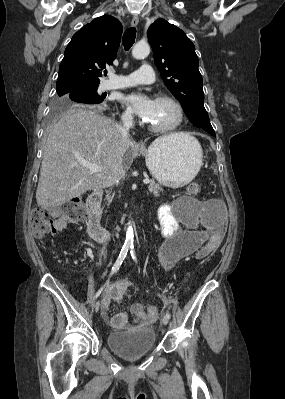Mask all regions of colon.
I'll return each instance as SVG.
<instances>
[{
	"label": "colon",
	"mask_w": 285,
	"mask_h": 399,
	"mask_svg": "<svg viewBox=\"0 0 285 399\" xmlns=\"http://www.w3.org/2000/svg\"><path fill=\"white\" fill-rule=\"evenodd\" d=\"M201 188L198 183H191L187 187L190 196L199 194ZM85 207L80 198H73L60 207L34 209L30 215L29 223L32 233L36 237H42L52 230L60 229L68 222H83L85 220ZM221 244L217 237L208 241L200 250L203 257L212 256ZM132 312L136 315L147 314L154 317L157 314L155 307L144 308L136 303L132 306Z\"/></svg>",
	"instance_id": "1"
}]
</instances>
